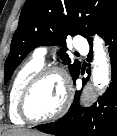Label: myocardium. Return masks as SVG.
<instances>
[{
	"label": "myocardium",
	"instance_id": "myocardium-1",
	"mask_svg": "<svg viewBox=\"0 0 117 136\" xmlns=\"http://www.w3.org/2000/svg\"><path fill=\"white\" fill-rule=\"evenodd\" d=\"M55 74L61 77L63 81V89H64V97H63V102L59 109L52 114L51 116L44 117V118H33L31 117L26 110V105H27V100L29 95L31 94L32 90L34 87L46 76ZM72 100V88L70 84V79L67 75V73L60 67L58 66H47V67H42L39 71H37L27 82L25 87L23 88L20 98H19V103H18V108L17 112L18 115L25 121L33 124H40V123H47L51 122L54 120H57L60 118L66 110L69 108Z\"/></svg>",
	"mask_w": 117,
	"mask_h": 136
}]
</instances>
